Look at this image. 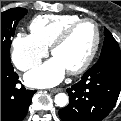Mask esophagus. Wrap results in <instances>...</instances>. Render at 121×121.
<instances>
[{
    "label": "esophagus",
    "mask_w": 121,
    "mask_h": 121,
    "mask_svg": "<svg viewBox=\"0 0 121 121\" xmlns=\"http://www.w3.org/2000/svg\"><path fill=\"white\" fill-rule=\"evenodd\" d=\"M59 91H61L60 88H54V89H50V90H49L50 93H57V92H59Z\"/></svg>",
    "instance_id": "esophagus-1"
}]
</instances>
